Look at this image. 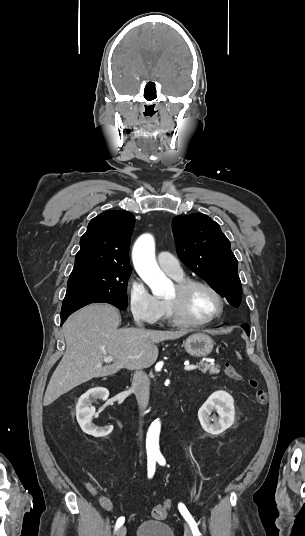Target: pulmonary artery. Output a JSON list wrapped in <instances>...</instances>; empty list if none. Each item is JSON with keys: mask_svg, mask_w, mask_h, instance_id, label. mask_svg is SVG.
<instances>
[{"mask_svg": "<svg viewBox=\"0 0 305 536\" xmlns=\"http://www.w3.org/2000/svg\"><path fill=\"white\" fill-rule=\"evenodd\" d=\"M157 262L161 269L172 277L179 278L184 275L179 262L169 252H159L157 255Z\"/></svg>", "mask_w": 305, "mask_h": 536, "instance_id": "1", "label": "pulmonary artery"}]
</instances>
